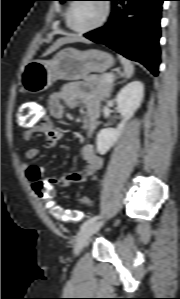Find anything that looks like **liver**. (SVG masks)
<instances>
[{
    "instance_id": "6515ba94",
    "label": "liver",
    "mask_w": 180,
    "mask_h": 299,
    "mask_svg": "<svg viewBox=\"0 0 180 299\" xmlns=\"http://www.w3.org/2000/svg\"><path fill=\"white\" fill-rule=\"evenodd\" d=\"M79 41H81V39H79L78 37H76L74 35H70V34H68L64 37H60L59 39H57V41L51 47H49V49H47V51L44 53V55H48V54L54 52L59 47L65 45V44L75 43V42H79Z\"/></svg>"
}]
</instances>
